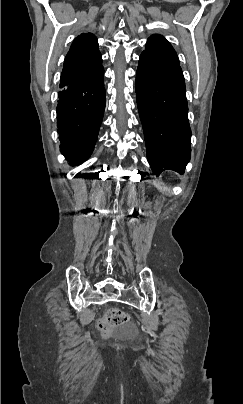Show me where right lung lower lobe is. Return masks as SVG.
Listing matches in <instances>:
<instances>
[{
  "label": "right lung lower lobe",
  "instance_id": "98d812e1",
  "mask_svg": "<svg viewBox=\"0 0 243 404\" xmlns=\"http://www.w3.org/2000/svg\"><path fill=\"white\" fill-rule=\"evenodd\" d=\"M102 64L71 80L58 93L57 127L60 150L70 165H79L93 152L105 109Z\"/></svg>",
  "mask_w": 243,
  "mask_h": 404
}]
</instances>
